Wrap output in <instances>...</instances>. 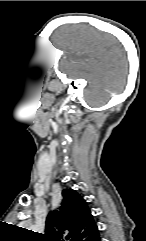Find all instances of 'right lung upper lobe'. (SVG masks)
<instances>
[{
    "label": "right lung upper lobe",
    "mask_w": 146,
    "mask_h": 241,
    "mask_svg": "<svg viewBox=\"0 0 146 241\" xmlns=\"http://www.w3.org/2000/svg\"><path fill=\"white\" fill-rule=\"evenodd\" d=\"M58 209L46 219L43 241H99V232L86 201L74 190L62 192Z\"/></svg>",
    "instance_id": "right-lung-upper-lobe-1"
}]
</instances>
